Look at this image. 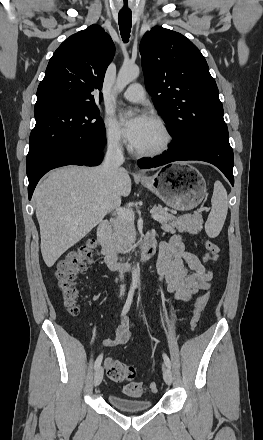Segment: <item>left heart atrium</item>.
<instances>
[{
  "label": "left heart atrium",
  "instance_id": "obj_1",
  "mask_svg": "<svg viewBox=\"0 0 263 440\" xmlns=\"http://www.w3.org/2000/svg\"><path fill=\"white\" fill-rule=\"evenodd\" d=\"M149 118L142 114L131 115L124 113L121 115V125L125 137L135 146L140 136L149 122Z\"/></svg>",
  "mask_w": 263,
  "mask_h": 440
}]
</instances>
